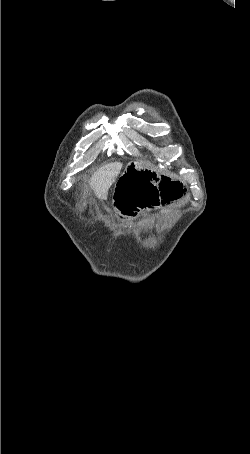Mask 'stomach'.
Instances as JSON below:
<instances>
[{"instance_id": "stomach-1", "label": "stomach", "mask_w": 250, "mask_h": 454, "mask_svg": "<svg viewBox=\"0 0 250 454\" xmlns=\"http://www.w3.org/2000/svg\"><path fill=\"white\" fill-rule=\"evenodd\" d=\"M121 176H158V175L154 171L146 169L139 163L132 162L127 165Z\"/></svg>"}]
</instances>
